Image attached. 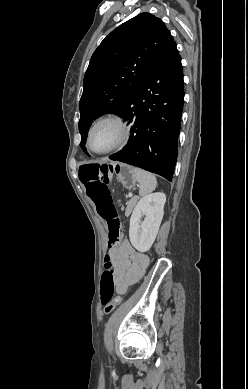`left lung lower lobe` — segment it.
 <instances>
[{"instance_id":"0a47b994","label":"left lung lower lobe","mask_w":248,"mask_h":389,"mask_svg":"<svg viewBox=\"0 0 248 389\" xmlns=\"http://www.w3.org/2000/svg\"><path fill=\"white\" fill-rule=\"evenodd\" d=\"M184 102L181 58L174 43L118 114L133 122L125 148L109 158L172 181Z\"/></svg>"}]
</instances>
